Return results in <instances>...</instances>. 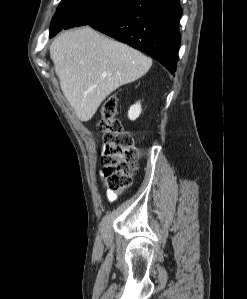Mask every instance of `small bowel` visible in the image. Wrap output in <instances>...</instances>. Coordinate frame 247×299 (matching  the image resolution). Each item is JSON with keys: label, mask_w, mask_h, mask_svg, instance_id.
Masks as SVG:
<instances>
[{"label": "small bowel", "mask_w": 247, "mask_h": 299, "mask_svg": "<svg viewBox=\"0 0 247 299\" xmlns=\"http://www.w3.org/2000/svg\"><path fill=\"white\" fill-rule=\"evenodd\" d=\"M107 197L109 201H113L115 199V196L110 192L107 193Z\"/></svg>", "instance_id": "c3829d8e"}]
</instances>
